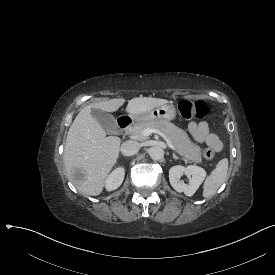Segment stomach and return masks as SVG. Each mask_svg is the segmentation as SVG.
<instances>
[{"label":"stomach","mask_w":275,"mask_h":275,"mask_svg":"<svg viewBox=\"0 0 275 275\" xmlns=\"http://www.w3.org/2000/svg\"><path fill=\"white\" fill-rule=\"evenodd\" d=\"M176 116V109L173 105L164 104L141 114H131L135 121L152 122L157 120H173Z\"/></svg>","instance_id":"stomach-1"}]
</instances>
